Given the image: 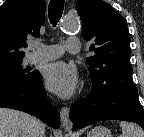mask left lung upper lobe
<instances>
[{"mask_svg": "<svg viewBox=\"0 0 144 137\" xmlns=\"http://www.w3.org/2000/svg\"><path fill=\"white\" fill-rule=\"evenodd\" d=\"M83 37L92 41L87 58L93 91L135 90L130 58V35L124 17L102 0H78Z\"/></svg>", "mask_w": 144, "mask_h": 137, "instance_id": "5c2ea615", "label": "left lung upper lobe"}]
</instances>
